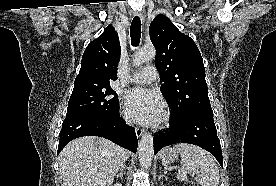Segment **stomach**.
<instances>
[{
    "label": "stomach",
    "mask_w": 276,
    "mask_h": 186,
    "mask_svg": "<svg viewBox=\"0 0 276 186\" xmlns=\"http://www.w3.org/2000/svg\"><path fill=\"white\" fill-rule=\"evenodd\" d=\"M160 159L163 164H170L178 159V153L173 148L166 147L161 151Z\"/></svg>",
    "instance_id": "0dacf381"
}]
</instances>
